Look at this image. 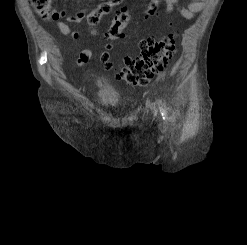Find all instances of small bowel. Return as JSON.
<instances>
[{
    "instance_id": "c3829d8e",
    "label": "small bowel",
    "mask_w": 247,
    "mask_h": 245,
    "mask_svg": "<svg viewBox=\"0 0 247 245\" xmlns=\"http://www.w3.org/2000/svg\"><path fill=\"white\" fill-rule=\"evenodd\" d=\"M160 1L164 2V14L169 15L174 10L179 11L182 17L185 19H192L198 12H200L205 6V0H189L186 7H181L179 5V0H152L150 5L148 6V10L146 12L147 16H153L156 13L158 4ZM86 16V11H81L76 14L69 15L66 11L62 10H53L52 17L56 22V27L58 30L66 36H71L74 39L78 38V33L71 30L69 25L64 22L63 20H67L70 23L79 24L83 21L84 17ZM131 16L127 9L122 8L120 9L113 20L112 26L109 30H116L117 38L121 39L124 38L123 29L125 25L130 21ZM92 57V51L89 49H85L81 51L78 56L77 63L78 65L86 64L90 58Z\"/></svg>"
}]
</instances>
